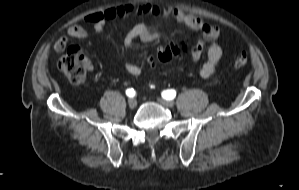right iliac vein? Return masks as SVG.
Returning <instances> with one entry per match:
<instances>
[{"mask_svg":"<svg viewBox=\"0 0 299 190\" xmlns=\"http://www.w3.org/2000/svg\"><path fill=\"white\" fill-rule=\"evenodd\" d=\"M128 105L130 108H135L137 105V100L135 98H130L128 101Z\"/></svg>","mask_w":299,"mask_h":190,"instance_id":"1","label":"right iliac vein"}]
</instances>
